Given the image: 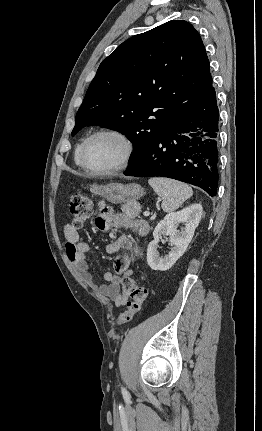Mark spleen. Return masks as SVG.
Returning <instances> with one entry per match:
<instances>
[{
    "mask_svg": "<svg viewBox=\"0 0 262 431\" xmlns=\"http://www.w3.org/2000/svg\"><path fill=\"white\" fill-rule=\"evenodd\" d=\"M149 185L163 198L161 207L164 212H173L193 195V190L185 183L164 177H152Z\"/></svg>",
    "mask_w": 262,
    "mask_h": 431,
    "instance_id": "3e777b00",
    "label": "spleen"
}]
</instances>
